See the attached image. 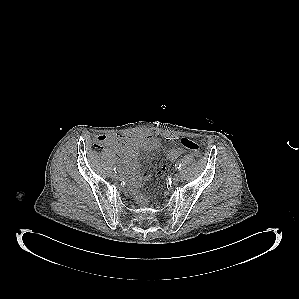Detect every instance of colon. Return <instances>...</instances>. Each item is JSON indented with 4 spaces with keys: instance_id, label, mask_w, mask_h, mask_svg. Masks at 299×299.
Segmentation results:
<instances>
[{
    "instance_id": "5ec220e1",
    "label": "colon",
    "mask_w": 299,
    "mask_h": 299,
    "mask_svg": "<svg viewBox=\"0 0 299 299\" xmlns=\"http://www.w3.org/2000/svg\"><path fill=\"white\" fill-rule=\"evenodd\" d=\"M108 136L109 135L99 136L96 139L95 147L98 148V149L103 148L105 146V142L108 139ZM180 143H181L182 147L189 150L196 157L201 156L200 147L195 141H193L189 138H182Z\"/></svg>"
}]
</instances>
